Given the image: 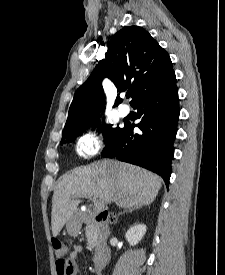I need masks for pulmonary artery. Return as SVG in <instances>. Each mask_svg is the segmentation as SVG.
I'll list each match as a JSON object with an SVG mask.
<instances>
[{
  "label": "pulmonary artery",
  "instance_id": "obj_1",
  "mask_svg": "<svg viewBox=\"0 0 225 275\" xmlns=\"http://www.w3.org/2000/svg\"><path fill=\"white\" fill-rule=\"evenodd\" d=\"M129 111H130V109L126 105H123V106H121V107L118 108V114L121 117L127 116L129 114Z\"/></svg>",
  "mask_w": 225,
  "mask_h": 275
}]
</instances>
